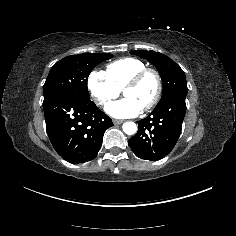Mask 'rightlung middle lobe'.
Returning <instances> with one entry per match:
<instances>
[{
	"mask_svg": "<svg viewBox=\"0 0 236 236\" xmlns=\"http://www.w3.org/2000/svg\"><path fill=\"white\" fill-rule=\"evenodd\" d=\"M113 57L107 53H84L61 59L50 70L44 84V101L59 94L89 101L87 80L92 69Z\"/></svg>",
	"mask_w": 236,
	"mask_h": 236,
	"instance_id": "dd1d6c3e",
	"label": "right lung middle lobe"
}]
</instances>
